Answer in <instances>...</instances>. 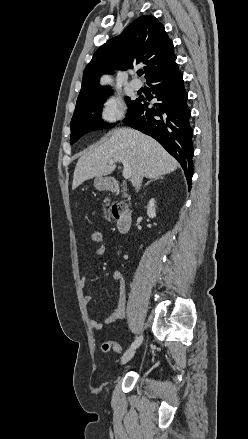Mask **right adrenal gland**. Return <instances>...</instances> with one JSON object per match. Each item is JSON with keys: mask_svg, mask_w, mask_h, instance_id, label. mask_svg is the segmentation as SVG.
I'll list each match as a JSON object with an SVG mask.
<instances>
[{"mask_svg": "<svg viewBox=\"0 0 248 439\" xmlns=\"http://www.w3.org/2000/svg\"><path fill=\"white\" fill-rule=\"evenodd\" d=\"M158 179H161V180H162L163 177H160V178H154V179L148 181V182L145 184V186H147L150 182L155 181V180H158Z\"/></svg>", "mask_w": 248, "mask_h": 439, "instance_id": "2a0ac1e0", "label": "right adrenal gland"}]
</instances>
